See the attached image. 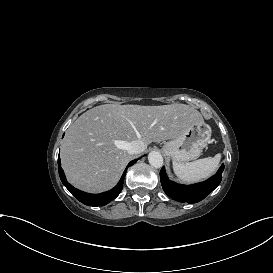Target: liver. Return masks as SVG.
Masks as SVG:
<instances>
[{
    "instance_id": "6515ba94",
    "label": "liver",
    "mask_w": 273,
    "mask_h": 273,
    "mask_svg": "<svg viewBox=\"0 0 273 273\" xmlns=\"http://www.w3.org/2000/svg\"><path fill=\"white\" fill-rule=\"evenodd\" d=\"M201 113L186 104L140 106L104 104L83 113L66 133L61 162L68 181L88 192L112 188L119 180L130 155L127 145L175 139Z\"/></svg>"
}]
</instances>
